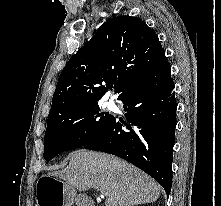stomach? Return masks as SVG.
Masks as SVG:
<instances>
[{
    "instance_id": "1",
    "label": "stomach",
    "mask_w": 221,
    "mask_h": 206,
    "mask_svg": "<svg viewBox=\"0 0 221 206\" xmlns=\"http://www.w3.org/2000/svg\"><path fill=\"white\" fill-rule=\"evenodd\" d=\"M40 184L47 186L46 193L41 191ZM77 199L75 189L60 179L48 175L39 180L36 206H71Z\"/></svg>"
}]
</instances>
